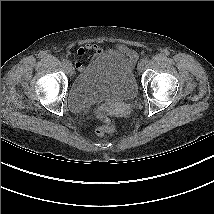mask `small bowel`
<instances>
[{
	"instance_id": "small-bowel-1",
	"label": "small bowel",
	"mask_w": 214,
	"mask_h": 214,
	"mask_svg": "<svg viewBox=\"0 0 214 214\" xmlns=\"http://www.w3.org/2000/svg\"><path fill=\"white\" fill-rule=\"evenodd\" d=\"M118 49L120 53L127 54L130 57L131 62L135 61V59L137 58L136 53L129 51L124 46H118ZM86 52H91V54L88 57V60L90 62H94L103 53V48L95 43H87L83 46H80L77 49L76 52L77 57L75 58V67L78 71H83L85 69V65L80 58L84 56Z\"/></svg>"
}]
</instances>
